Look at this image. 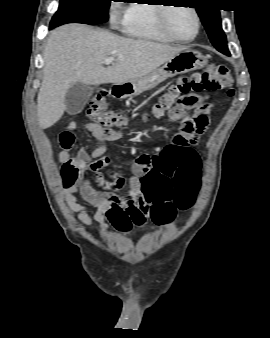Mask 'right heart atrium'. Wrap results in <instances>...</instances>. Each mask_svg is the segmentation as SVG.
<instances>
[{"label": "right heart atrium", "mask_w": 270, "mask_h": 338, "mask_svg": "<svg viewBox=\"0 0 270 338\" xmlns=\"http://www.w3.org/2000/svg\"><path fill=\"white\" fill-rule=\"evenodd\" d=\"M121 7L120 6H113L110 11V19L113 25H123L127 18V12L123 15L120 14Z\"/></svg>", "instance_id": "right-heart-atrium-1"}]
</instances>
